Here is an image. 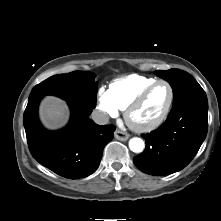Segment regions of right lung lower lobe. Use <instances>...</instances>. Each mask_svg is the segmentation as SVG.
Wrapping results in <instances>:
<instances>
[{
    "label": "right lung lower lobe",
    "instance_id": "98d812e1",
    "mask_svg": "<svg viewBox=\"0 0 221 221\" xmlns=\"http://www.w3.org/2000/svg\"><path fill=\"white\" fill-rule=\"evenodd\" d=\"M41 98L28 101L24 127L29 150L34 159L56 174L78 179L94 173L104 146L113 139L115 127L97 125L89 118L92 108L68 103L69 124L59 131H48L39 122L37 109Z\"/></svg>",
    "mask_w": 221,
    "mask_h": 221
}]
</instances>
